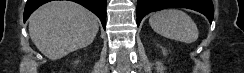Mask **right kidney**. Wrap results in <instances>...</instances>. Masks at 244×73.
Returning a JSON list of instances; mask_svg holds the SVG:
<instances>
[{"label": "right kidney", "mask_w": 244, "mask_h": 73, "mask_svg": "<svg viewBox=\"0 0 244 73\" xmlns=\"http://www.w3.org/2000/svg\"><path fill=\"white\" fill-rule=\"evenodd\" d=\"M79 61H75V63L77 64Z\"/></svg>", "instance_id": "ca27d5eb"}]
</instances>
